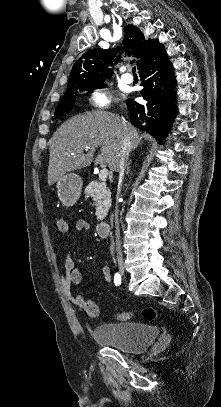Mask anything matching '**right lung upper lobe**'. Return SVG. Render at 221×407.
Here are the masks:
<instances>
[{"label": "right lung upper lobe", "mask_w": 221, "mask_h": 407, "mask_svg": "<svg viewBox=\"0 0 221 407\" xmlns=\"http://www.w3.org/2000/svg\"><path fill=\"white\" fill-rule=\"evenodd\" d=\"M162 47L158 40L149 39L146 41L143 33L137 27L128 25L125 27L123 48L110 50L92 49L85 52L76 61L69 76L66 92L103 84L105 79L111 76L108 63L111 64V60H114L117 53L121 54V51L134 57H140V60L137 61V68L140 70ZM119 61L121 60L119 59Z\"/></svg>", "instance_id": "1"}]
</instances>
